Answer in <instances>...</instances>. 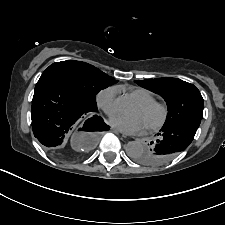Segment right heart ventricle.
Masks as SVG:
<instances>
[{
	"instance_id": "1",
	"label": "right heart ventricle",
	"mask_w": 225,
	"mask_h": 225,
	"mask_svg": "<svg viewBox=\"0 0 225 225\" xmlns=\"http://www.w3.org/2000/svg\"><path fill=\"white\" fill-rule=\"evenodd\" d=\"M130 96L138 103H147L155 100V96L151 91L141 87L132 88L130 90Z\"/></svg>"
}]
</instances>
